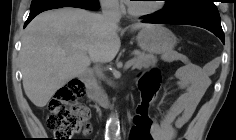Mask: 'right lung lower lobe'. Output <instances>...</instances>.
I'll return each mask as SVG.
<instances>
[{"instance_id":"98d812e1","label":"right lung lower lobe","mask_w":236,"mask_h":140,"mask_svg":"<svg viewBox=\"0 0 236 140\" xmlns=\"http://www.w3.org/2000/svg\"><path fill=\"white\" fill-rule=\"evenodd\" d=\"M61 7H77V8H83V9H88L84 6H80V5H75V4H61V5H55V6H50V7H45V8H40V9H36L33 11H30L29 17L27 19V21L25 22L24 27H26L29 22L35 17L37 16L39 13L46 11V10H50V9H56V8H61Z\"/></svg>"}]
</instances>
